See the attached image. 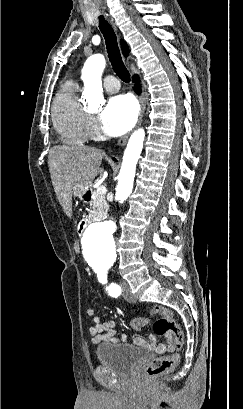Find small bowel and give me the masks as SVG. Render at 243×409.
<instances>
[{"mask_svg":"<svg viewBox=\"0 0 243 409\" xmlns=\"http://www.w3.org/2000/svg\"><path fill=\"white\" fill-rule=\"evenodd\" d=\"M86 314L89 316L94 315V309L89 307L86 309ZM89 332L92 336V342L94 344L101 343H126L128 338L126 334H121L118 336V330L116 323L114 321H101L99 317L95 316L93 318V323L89 328ZM133 345L147 347L151 350H155L159 353L162 352H173L175 347L173 344H160L157 341L155 335H150L149 340L145 341L140 337H134L132 340Z\"/></svg>","mask_w":243,"mask_h":409,"instance_id":"small-bowel-1","label":"small bowel"}]
</instances>
